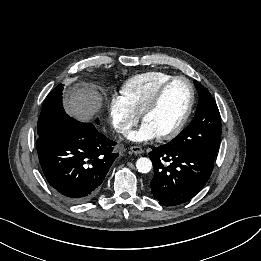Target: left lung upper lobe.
Wrapping results in <instances>:
<instances>
[{"mask_svg": "<svg viewBox=\"0 0 261 261\" xmlns=\"http://www.w3.org/2000/svg\"><path fill=\"white\" fill-rule=\"evenodd\" d=\"M199 93V104L194 119L171 142L215 159L221 139V117L209 91L194 81Z\"/></svg>", "mask_w": 261, "mask_h": 261, "instance_id": "5c2ea615", "label": "left lung upper lobe"}]
</instances>
